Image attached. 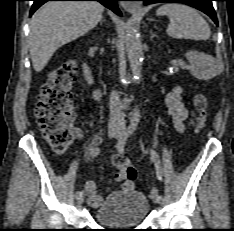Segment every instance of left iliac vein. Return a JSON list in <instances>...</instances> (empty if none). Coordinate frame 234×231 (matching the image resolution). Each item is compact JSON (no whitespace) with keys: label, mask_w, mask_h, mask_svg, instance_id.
Returning a JSON list of instances; mask_svg holds the SVG:
<instances>
[{"label":"left iliac vein","mask_w":234,"mask_h":231,"mask_svg":"<svg viewBox=\"0 0 234 231\" xmlns=\"http://www.w3.org/2000/svg\"><path fill=\"white\" fill-rule=\"evenodd\" d=\"M124 133L122 132L120 136H122ZM151 199L153 200V202L155 203H159V200H158V192H157V189L156 188H153L152 189V192H151Z\"/></svg>","instance_id":"1"}]
</instances>
